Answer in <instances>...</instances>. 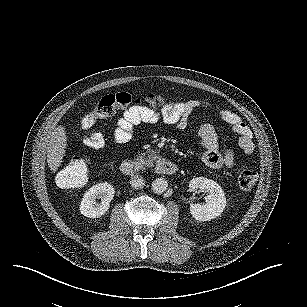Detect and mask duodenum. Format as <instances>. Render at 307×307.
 <instances>
[{
  "label": "duodenum",
  "instance_id": "410a0bca",
  "mask_svg": "<svg viewBox=\"0 0 307 307\" xmlns=\"http://www.w3.org/2000/svg\"><path fill=\"white\" fill-rule=\"evenodd\" d=\"M120 170L123 174L132 176L136 172V164L134 161L125 160L121 163ZM154 170L157 174L173 175L177 172L178 167L174 162L161 158L157 160Z\"/></svg>",
  "mask_w": 307,
  "mask_h": 307
}]
</instances>
